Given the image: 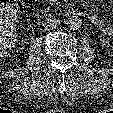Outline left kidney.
Listing matches in <instances>:
<instances>
[{"instance_id":"obj_1","label":"left kidney","mask_w":113,"mask_h":113,"mask_svg":"<svg viewBox=\"0 0 113 113\" xmlns=\"http://www.w3.org/2000/svg\"><path fill=\"white\" fill-rule=\"evenodd\" d=\"M102 45H106L104 42L101 43Z\"/></svg>"}]
</instances>
